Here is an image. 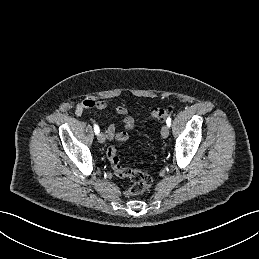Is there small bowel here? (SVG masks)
I'll list each match as a JSON object with an SVG mask.
<instances>
[{
    "instance_id": "obj_1",
    "label": "small bowel",
    "mask_w": 259,
    "mask_h": 259,
    "mask_svg": "<svg viewBox=\"0 0 259 259\" xmlns=\"http://www.w3.org/2000/svg\"><path fill=\"white\" fill-rule=\"evenodd\" d=\"M110 104L106 100H95L86 99L79 103L76 107L75 113L80 116L85 109H107ZM115 112L122 118L123 129L118 131L114 124H110L105 128V136L112 140H117L119 142H124L129 138V131L134 127V119L128 114L127 109L122 105H117L114 107Z\"/></svg>"
}]
</instances>
